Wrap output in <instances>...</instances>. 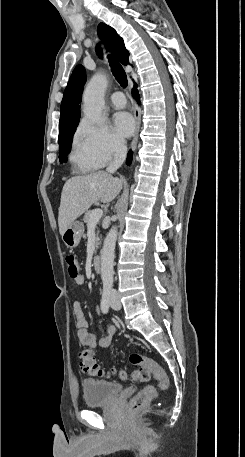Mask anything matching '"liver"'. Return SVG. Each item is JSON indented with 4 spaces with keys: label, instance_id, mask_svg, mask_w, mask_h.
Segmentation results:
<instances>
[{
    "label": "liver",
    "instance_id": "obj_1",
    "mask_svg": "<svg viewBox=\"0 0 245 457\" xmlns=\"http://www.w3.org/2000/svg\"><path fill=\"white\" fill-rule=\"evenodd\" d=\"M122 188L117 176L99 170L85 176H71L66 180L59 206V233L63 235L69 224L83 214L93 202H111Z\"/></svg>",
    "mask_w": 245,
    "mask_h": 457
}]
</instances>
